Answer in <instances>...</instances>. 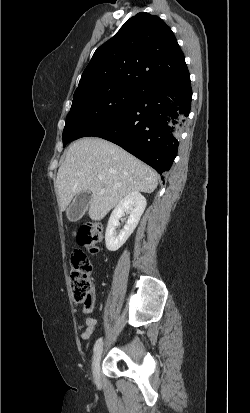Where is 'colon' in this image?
<instances>
[{
	"label": "colon",
	"mask_w": 250,
	"mask_h": 413,
	"mask_svg": "<svg viewBox=\"0 0 250 413\" xmlns=\"http://www.w3.org/2000/svg\"><path fill=\"white\" fill-rule=\"evenodd\" d=\"M74 235L79 245L85 246L91 253H98L102 241L100 224L86 223ZM70 286L76 303L84 306L93 305V267L87 255L81 250H75L71 255Z\"/></svg>",
	"instance_id": "5ec220e1"
}]
</instances>
